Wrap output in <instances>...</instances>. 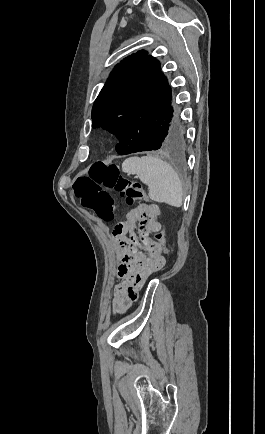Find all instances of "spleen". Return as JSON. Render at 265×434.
<instances>
[{"label": "spleen", "mask_w": 265, "mask_h": 434, "mask_svg": "<svg viewBox=\"0 0 265 434\" xmlns=\"http://www.w3.org/2000/svg\"><path fill=\"white\" fill-rule=\"evenodd\" d=\"M122 172L136 174L137 178L148 186V196L153 202H164L175 208L182 206L181 180L172 166L161 158H127L122 164Z\"/></svg>", "instance_id": "3e777b00"}]
</instances>
